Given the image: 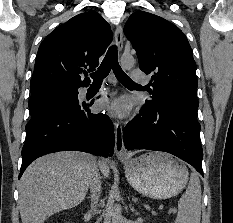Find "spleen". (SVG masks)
Returning <instances> with one entry per match:
<instances>
[{
	"instance_id": "spleen-1",
	"label": "spleen",
	"mask_w": 233,
	"mask_h": 223,
	"mask_svg": "<svg viewBox=\"0 0 233 223\" xmlns=\"http://www.w3.org/2000/svg\"><path fill=\"white\" fill-rule=\"evenodd\" d=\"M201 185L197 173H191L189 185L178 201L175 223H200Z\"/></svg>"
}]
</instances>
